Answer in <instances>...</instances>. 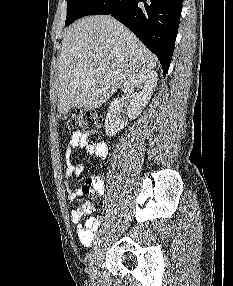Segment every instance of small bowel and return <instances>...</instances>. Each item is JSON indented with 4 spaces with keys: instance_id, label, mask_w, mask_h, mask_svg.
Returning <instances> with one entry per match:
<instances>
[{
    "instance_id": "obj_1",
    "label": "small bowel",
    "mask_w": 233,
    "mask_h": 286,
    "mask_svg": "<svg viewBox=\"0 0 233 286\" xmlns=\"http://www.w3.org/2000/svg\"><path fill=\"white\" fill-rule=\"evenodd\" d=\"M76 149H85L89 155H95L98 159V164L104 161L108 155V148L105 143H90L86 134L81 131H75L65 148L66 177L80 176L83 173L84 166L80 163L72 162V156ZM68 199L70 201L77 200L83 194H87L83 188L73 189L70 183H66ZM97 196L103 194V187L100 191L92 193ZM95 209L93 203L85 202L79 208L71 212V221L77 225V236L80 243L84 246H89L92 243L94 233L99 228L101 217L88 216L83 223L81 220L84 216L92 213Z\"/></svg>"
}]
</instances>
